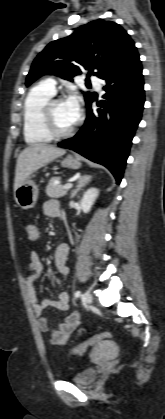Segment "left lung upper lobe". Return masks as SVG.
Wrapping results in <instances>:
<instances>
[{"label":"left lung upper lobe","instance_id":"5c2ea615","mask_svg":"<svg viewBox=\"0 0 165 419\" xmlns=\"http://www.w3.org/2000/svg\"><path fill=\"white\" fill-rule=\"evenodd\" d=\"M134 48V42L119 24L94 20L70 36L49 43L33 61L26 85L47 74L72 81L83 69L89 70V75L96 70L93 74L102 78ZM84 97L87 103L92 95L85 92Z\"/></svg>","mask_w":165,"mask_h":419}]
</instances>
